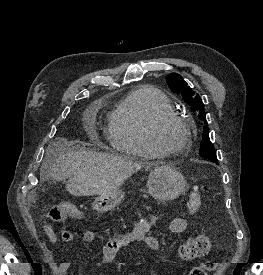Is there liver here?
I'll use <instances>...</instances> for the list:
<instances>
[{
  "label": "liver",
  "mask_w": 263,
  "mask_h": 275,
  "mask_svg": "<svg viewBox=\"0 0 263 275\" xmlns=\"http://www.w3.org/2000/svg\"><path fill=\"white\" fill-rule=\"evenodd\" d=\"M70 145L65 139L52 142L40 174L48 173L55 181L68 179L66 190L74 196L106 195L144 166L110 154L67 150ZM52 151L56 152V158L49 162Z\"/></svg>",
  "instance_id": "obj_1"
}]
</instances>
